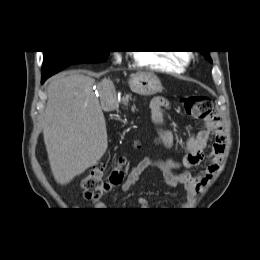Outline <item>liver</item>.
<instances>
[{"label": "liver", "instance_id": "obj_1", "mask_svg": "<svg viewBox=\"0 0 260 260\" xmlns=\"http://www.w3.org/2000/svg\"><path fill=\"white\" fill-rule=\"evenodd\" d=\"M94 84L95 79L80 73L56 75L49 81L43 137L54 179L60 185L95 165L107 150L100 101L114 96V86L110 79L100 81L99 101Z\"/></svg>", "mask_w": 260, "mask_h": 260}]
</instances>
